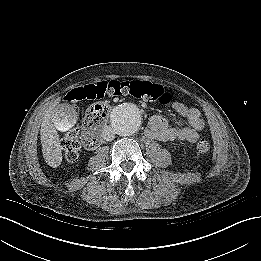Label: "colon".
<instances>
[{
  "mask_svg": "<svg viewBox=\"0 0 261 261\" xmlns=\"http://www.w3.org/2000/svg\"><path fill=\"white\" fill-rule=\"evenodd\" d=\"M117 96H132L137 99L158 101L165 104L169 102L171 93L159 84L142 80L101 81L69 92L66 100L70 103L84 99L96 100L97 102L87 109L84 122L88 132L85 137L81 140L79 130L73 128L62 140L63 155L68 162L74 163L78 160L79 151L83 144L92 147L96 143L98 129L106 122L109 114V105L102 100ZM209 148L210 143L207 139L202 138L198 141L197 150L199 152H207Z\"/></svg>",
  "mask_w": 261,
  "mask_h": 261,
  "instance_id": "1",
  "label": "colon"
}]
</instances>
